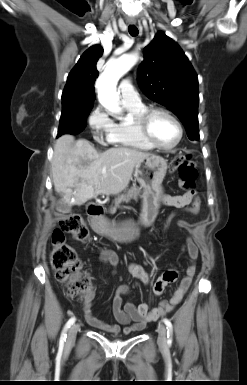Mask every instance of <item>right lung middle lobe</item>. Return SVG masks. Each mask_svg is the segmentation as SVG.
<instances>
[{"instance_id":"obj_1","label":"right lung middle lobe","mask_w":247,"mask_h":385,"mask_svg":"<svg viewBox=\"0 0 247 385\" xmlns=\"http://www.w3.org/2000/svg\"><path fill=\"white\" fill-rule=\"evenodd\" d=\"M93 105L65 103L62 104V114L57 137L62 134H78L87 125V117Z\"/></svg>"}]
</instances>
